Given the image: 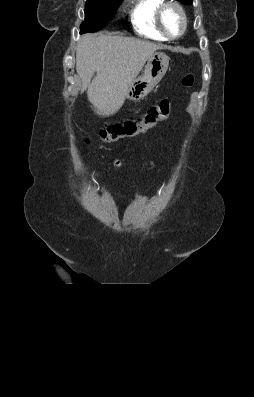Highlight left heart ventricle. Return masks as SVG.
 <instances>
[{"label": "left heart ventricle", "mask_w": 254, "mask_h": 397, "mask_svg": "<svg viewBox=\"0 0 254 397\" xmlns=\"http://www.w3.org/2000/svg\"><path fill=\"white\" fill-rule=\"evenodd\" d=\"M163 23L166 30L171 35H178L182 28V20L179 13L173 9L168 8L163 15Z\"/></svg>", "instance_id": "obj_1"}]
</instances>
